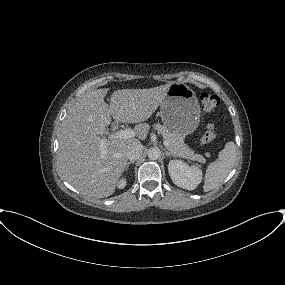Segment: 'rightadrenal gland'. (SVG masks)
I'll return each mask as SVG.
<instances>
[{
    "mask_svg": "<svg viewBox=\"0 0 285 285\" xmlns=\"http://www.w3.org/2000/svg\"><path fill=\"white\" fill-rule=\"evenodd\" d=\"M134 163V161H129L127 164H126V170L129 168V166H130V164H133Z\"/></svg>",
    "mask_w": 285,
    "mask_h": 285,
    "instance_id": "1",
    "label": "right adrenal gland"
}]
</instances>
